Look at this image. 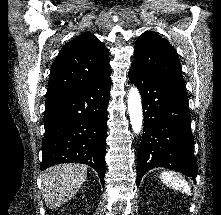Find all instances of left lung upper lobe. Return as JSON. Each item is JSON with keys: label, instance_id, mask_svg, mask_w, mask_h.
Masks as SVG:
<instances>
[{"label": "left lung upper lobe", "instance_id": "5c2ea615", "mask_svg": "<svg viewBox=\"0 0 221 215\" xmlns=\"http://www.w3.org/2000/svg\"><path fill=\"white\" fill-rule=\"evenodd\" d=\"M131 66L185 88L181 65L175 49L155 32L147 31L138 38Z\"/></svg>", "mask_w": 221, "mask_h": 215}]
</instances>
